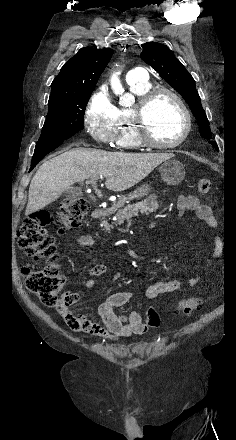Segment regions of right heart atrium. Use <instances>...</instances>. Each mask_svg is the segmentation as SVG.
<instances>
[{"label":"right heart atrium","mask_w":236,"mask_h":440,"mask_svg":"<svg viewBox=\"0 0 236 440\" xmlns=\"http://www.w3.org/2000/svg\"><path fill=\"white\" fill-rule=\"evenodd\" d=\"M83 120L86 131L95 141L108 145L115 143L116 107L106 87L101 86L91 94Z\"/></svg>","instance_id":"right-heart-atrium-1"}]
</instances>
